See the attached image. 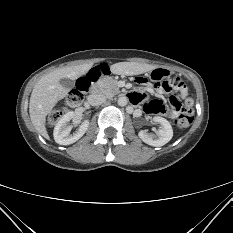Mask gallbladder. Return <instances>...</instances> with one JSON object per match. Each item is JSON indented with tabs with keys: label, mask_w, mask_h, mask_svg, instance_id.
I'll return each mask as SVG.
<instances>
[{
	"label": "gallbladder",
	"mask_w": 233,
	"mask_h": 233,
	"mask_svg": "<svg viewBox=\"0 0 233 233\" xmlns=\"http://www.w3.org/2000/svg\"><path fill=\"white\" fill-rule=\"evenodd\" d=\"M60 84L67 90H71L75 87V81L69 78H62Z\"/></svg>",
	"instance_id": "obj_1"
}]
</instances>
